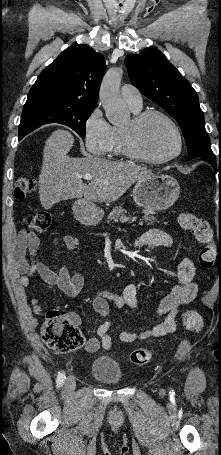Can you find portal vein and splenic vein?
<instances>
[{
    "label": "portal vein and splenic vein",
    "mask_w": 221,
    "mask_h": 455,
    "mask_svg": "<svg viewBox=\"0 0 221 455\" xmlns=\"http://www.w3.org/2000/svg\"><path fill=\"white\" fill-rule=\"evenodd\" d=\"M79 177H81V178H83V179H85V180H92V175H91V174H85V175L79 176ZM136 219H137V218L134 217V218H132L129 222H130V223H131V222H134Z\"/></svg>",
    "instance_id": "obj_1"
}]
</instances>
